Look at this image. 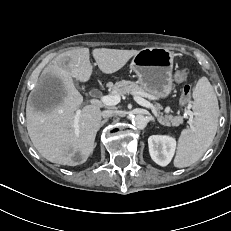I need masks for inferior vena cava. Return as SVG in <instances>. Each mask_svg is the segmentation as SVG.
<instances>
[{
    "label": "inferior vena cava",
    "instance_id": "obj_1",
    "mask_svg": "<svg viewBox=\"0 0 231 231\" xmlns=\"http://www.w3.org/2000/svg\"><path fill=\"white\" fill-rule=\"evenodd\" d=\"M117 114V111L115 110H104L102 112V117L103 118H109Z\"/></svg>",
    "mask_w": 231,
    "mask_h": 231
}]
</instances>
